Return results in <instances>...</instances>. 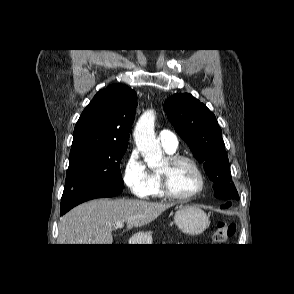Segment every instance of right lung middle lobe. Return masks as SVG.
<instances>
[{
    "mask_svg": "<svg viewBox=\"0 0 294 294\" xmlns=\"http://www.w3.org/2000/svg\"><path fill=\"white\" fill-rule=\"evenodd\" d=\"M127 146H72L62 197L87 188H124L120 162Z\"/></svg>",
    "mask_w": 294,
    "mask_h": 294,
    "instance_id": "dd1d6c3e",
    "label": "right lung middle lobe"
}]
</instances>
